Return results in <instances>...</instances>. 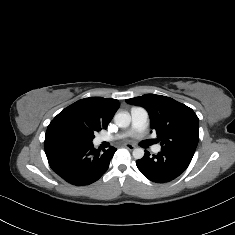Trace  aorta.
<instances>
[{
  "instance_id": "762f6f07",
  "label": "aorta",
  "mask_w": 235,
  "mask_h": 235,
  "mask_svg": "<svg viewBox=\"0 0 235 235\" xmlns=\"http://www.w3.org/2000/svg\"><path fill=\"white\" fill-rule=\"evenodd\" d=\"M115 124L120 128H126L130 125L131 116L127 111L119 112L114 116ZM144 156V149L143 148H135L133 150V157L135 159H141Z\"/></svg>"
}]
</instances>
